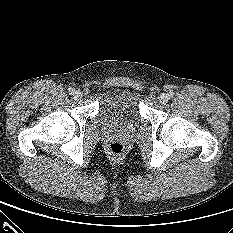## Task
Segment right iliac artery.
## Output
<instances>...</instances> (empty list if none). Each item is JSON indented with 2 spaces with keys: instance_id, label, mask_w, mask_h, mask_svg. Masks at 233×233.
Wrapping results in <instances>:
<instances>
[{
  "instance_id": "obj_1",
  "label": "right iliac artery",
  "mask_w": 233,
  "mask_h": 233,
  "mask_svg": "<svg viewBox=\"0 0 233 233\" xmlns=\"http://www.w3.org/2000/svg\"><path fill=\"white\" fill-rule=\"evenodd\" d=\"M69 94H73L74 93V89L73 88H69Z\"/></svg>"
}]
</instances>
